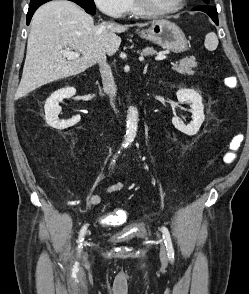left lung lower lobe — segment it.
<instances>
[{"mask_svg":"<svg viewBox=\"0 0 249 294\" xmlns=\"http://www.w3.org/2000/svg\"><path fill=\"white\" fill-rule=\"evenodd\" d=\"M192 10L193 11L198 10V11H203L207 13L212 18V20L216 23V25H218V13L216 8L212 6H197V7H194Z\"/></svg>","mask_w":249,"mask_h":294,"instance_id":"0a47b994","label":"left lung lower lobe"}]
</instances>
